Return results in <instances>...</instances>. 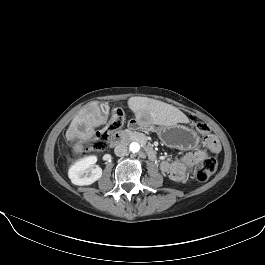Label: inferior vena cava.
Masks as SVG:
<instances>
[{
  "mask_svg": "<svg viewBox=\"0 0 265 265\" xmlns=\"http://www.w3.org/2000/svg\"><path fill=\"white\" fill-rule=\"evenodd\" d=\"M114 152L118 157L125 156L128 152V147L125 144H119L115 147Z\"/></svg>",
  "mask_w": 265,
  "mask_h": 265,
  "instance_id": "602c4592",
  "label": "inferior vena cava"
}]
</instances>
